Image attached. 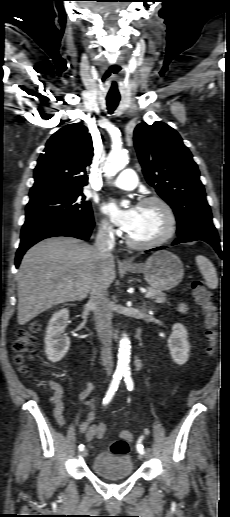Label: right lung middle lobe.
<instances>
[{"label":"right lung middle lobe","mask_w":230,"mask_h":517,"mask_svg":"<svg viewBox=\"0 0 230 517\" xmlns=\"http://www.w3.org/2000/svg\"><path fill=\"white\" fill-rule=\"evenodd\" d=\"M42 216L92 218L93 213L82 190H76L30 200L26 207V220Z\"/></svg>","instance_id":"dd1d6c3e"}]
</instances>
